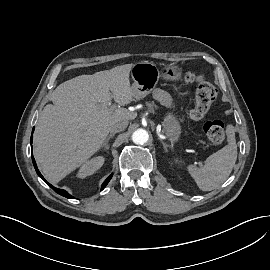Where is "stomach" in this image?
<instances>
[{
	"label": "stomach",
	"instance_id": "stomach-1",
	"mask_svg": "<svg viewBox=\"0 0 270 270\" xmlns=\"http://www.w3.org/2000/svg\"><path fill=\"white\" fill-rule=\"evenodd\" d=\"M181 67L174 63L163 67L161 70L148 61L137 62L131 69L133 84L131 86L134 98L141 99L147 96L155 88L159 79L176 81L181 78ZM163 126L171 142L176 141L180 136V126L172 114H168Z\"/></svg>",
	"mask_w": 270,
	"mask_h": 270
}]
</instances>
